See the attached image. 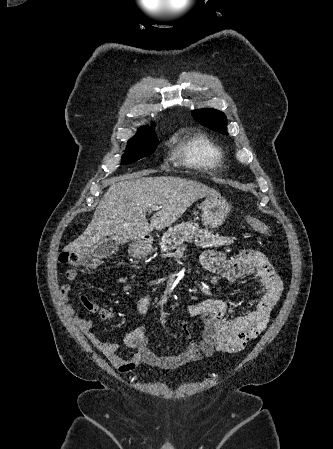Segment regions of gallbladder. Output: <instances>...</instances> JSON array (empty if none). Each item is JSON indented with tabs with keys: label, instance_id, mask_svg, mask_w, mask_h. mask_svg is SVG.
Segmentation results:
<instances>
[{
	"label": "gallbladder",
	"instance_id": "obj_1",
	"mask_svg": "<svg viewBox=\"0 0 333 449\" xmlns=\"http://www.w3.org/2000/svg\"><path fill=\"white\" fill-rule=\"evenodd\" d=\"M119 250V245L112 239H103L100 243L92 248L93 256L97 258H107Z\"/></svg>",
	"mask_w": 333,
	"mask_h": 449
}]
</instances>
